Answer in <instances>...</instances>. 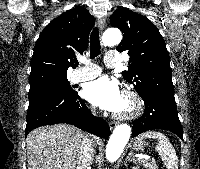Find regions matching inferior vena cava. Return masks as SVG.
<instances>
[{"label":"inferior vena cava","instance_id":"obj_1","mask_svg":"<svg viewBox=\"0 0 200 169\" xmlns=\"http://www.w3.org/2000/svg\"><path fill=\"white\" fill-rule=\"evenodd\" d=\"M93 114H95V109H92ZM94 157V148L92 142L86 138L83 140L81 145V151L78 161L77 169H89L90 165L93 162Z\"/></svg>","mask_w":200,"mask_h":169}]
</instances>
